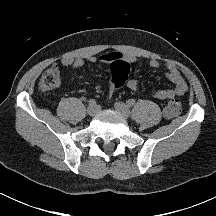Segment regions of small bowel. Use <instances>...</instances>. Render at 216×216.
I'll list each match as a JSON object with an SVG mask.
<instances>
[{
  "instance_id": "1",
  "label": "small bowel",
  "mask_w": 216,
  "mask_h": 216,
  "mask_svg": "<svg viewBox=\"0 0 216 216\" xmlns=\"http://www.w3.org/2000/svg\"><path fill=\"white\" fill-rule=\"evenodd\" d=\"M138 60V57L133 54L122 53L118 51H111L104 53L97 57H91L88 61L92 63H102V64H118L120 62H126L128 64L134 63ZM63 66L71 67L72 69H78L85 64V60L82 58H63L61 60ZM150 65L154 68L160 67V62L157 59H150ZM51 68H57L53 66ZM58 69V68H57ZM165 76L169 79V81L173 84L172 88L169 89H160L153 92V96L159 100H166L173 98L175 96L184 95L187 90L188 86L185 80L183 79L182 75L178 71V69L170 64H165ZM127 87L132 90L136 91L139 87V81L135 78L130 79L127 83Z\"/></svg>"
}]
</instances>
